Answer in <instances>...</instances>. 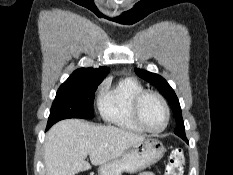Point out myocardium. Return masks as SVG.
<instances>
[{"label":"myocardium","mask_w":233,"mask_h":175,"mask_svg":"<svg viewBox=\"0 0 233 175\" xmlns=\"http://www.w3.org/2000/svg\"><path fill=\"white\" fill-rule=\"evenodd\" d=\"M147 96L156 97L160 101V103L164 109L165 122L161 128L156 129V130L151 129L148 126H146L141 118V114H140L141 103H142L143 99ZM131 112H132V116H133L135 122L138 124V126L142 130L149 132V133H153V134L161 133L162 131H164L166 129V127L168 126L169 121H170V109H169L167 101L159 92L154 91V90H143V91L139 92L138 94H136V96L134 97V99L132 101Z\"/></svg>","instance_id":"1"}]
</instances>
